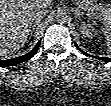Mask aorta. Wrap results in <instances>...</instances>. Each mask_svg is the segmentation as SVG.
<instances>
[{"mask_svg":"<svg viewBox=\"0 0 111 106\" xmlns=\"http://www.w3.org/2000/svg\"><path fill=\"white\" fill-rule=\"evenodd\" d=\"M66 17V13L64 11H58L57 18L59 21H64Z\"/></svg>","mask_w":111,"mask_h":106,"instance_id":"obj_1","label":"aorta"}]
</instances>
